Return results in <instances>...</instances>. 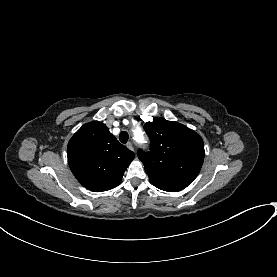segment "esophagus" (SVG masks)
Masks as SVG:
<instances>
[{
	"label": "esophagus",
	"mask_w": 277,
	"mask_h": 277,
	"mask_svg": "<svg viewBox=\"0 0 277 277\" xmlns=\"http://www.w3.org/2000/svg\"><path fill=\"white\" fill-rule=\"evenodd\" d=\"M127 147H128L130 150H134V147H133V145H132L131 142H128V143H127Z\"/></svg>",
	"instance_id": "1"
}]
</instances>
